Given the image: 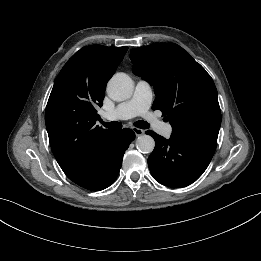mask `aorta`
<instances>
[{
    "label": "aorta",
    "mask_w": 261,
    "mask_h": 261,
    "mask_svg": "<svg viewBox=\"0 0 261 261\" xmlns=\"http://www.w3.org/2000/svg\"><path fill=\"white\" fill-rule=\"evenodd\" d=\"M133 81L125 73H116L109 80L107 93L115 101H124L129 99L133 94ZM136 147L142 153H151L155 147L154 139L149 135H141L136 140Z\"/></svg>",
    "instance_id": "obj_1"
}]
</instances>
